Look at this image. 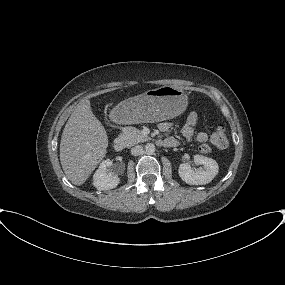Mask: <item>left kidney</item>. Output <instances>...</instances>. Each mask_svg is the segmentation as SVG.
<instances>
[{
  "mask_svg": "<svg viewBox=\"0 0 285 285\" xmlns=\"http://www.w3.org/2000/svg\"><path fill=\"white\" fill-rule=\"evenodd\" d=\"M194 162L203 165L204 169L192 170L188 163H182L179 166L178 173L180 178L190 185H205L210 183L218 174L217 162L209 157L195 155Z\"/></svg>",
  "mask_w": 285,
  "mask_h": 285,
  "instance_id": "obj_1",
  "label": "left kidney"
}]
</instances>
